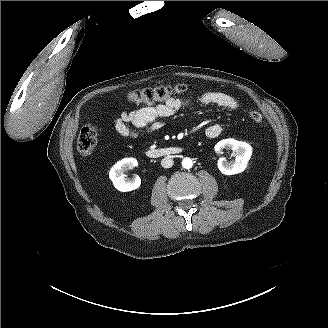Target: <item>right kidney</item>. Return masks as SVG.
<instances>
[{
    "instance_id": "right-kidney-1",
    "label": "right kidney",
    "mask_w": 328,
    "mask_h": 328,
    "mask_svg": "<svg viewBox=\"0 0 328 328\" xmlns=\"http://www.w3.org/2000/svg\"><path fill=\"white\" fill-rule=\"evenodd\" d=\"M138 166L135 158H125L114 164L109 172V179L113 182L114 187L120 192H130L136 190L141 185V180L137 177L134 181H128L124 173L128 169Z\"/></svg>"
}]
</instances>
